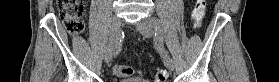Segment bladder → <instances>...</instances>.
Listing matches in <instances>:
<instances>
[{
	"label": "bladder",
	"mask_w": 279,
	"mask_h": 82,
	"mask_svg": "<svg viewBox=\"0 0 279 82\" xmlns=\"http://www.w3.org/2000/svg\"><path fill=\"white\" fill-rule=\"evenodd\" d=\"M120 82H150V81L145 79H129V80H122Z\"/></svg>",
	"instance_id": "obj_1"
}]
</instances>
